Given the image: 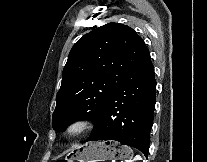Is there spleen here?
Listing matches in <instances>:
<instances>
[{"label": "spleen", "mask_w": 207, "mask_h": 162, "mask_svg": "<svg viewBox=\"0 0 207 162\" xmlns=\"http://www.w3.org/2000/svg\"><path fill=\"white\" fill-rule=\"evenodd\" d=\"M138 160H142L140 155H136L133 160H129V161H126V162H134V161H138Z\"/></svg>", "instance_id": "obj_1"}]
</instances>
